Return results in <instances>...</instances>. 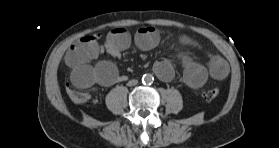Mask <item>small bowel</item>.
Here are the masks:
<instances>
[{"label": "small bowel", "mask_w": 279, "mask_h": 148, "mask_svg": "<svg viewBox=\"0 0 279 148\" xmlns=\"http://www.w3.org/2000/svg\"><path fill=\"white\" fill-rule=\"evenodd\" d=\"M160 41V33L153 27L140 28L135 36V44L142 50H150ZM185 45L199 47V44L184 36L181 39ZM132 42L130 33L123 28H115L107 35L104 42L99 34L82 37L67 50L65 62L71 68V81L78 88H89L95 84L110 87L119 81V73L116 66L107 60L91 65L90 62L102 53H108L114 57L119 56ZM183 66V80L191 88L201 87L208 77L216 80L224 79L229 72L227 62L219 55H209L208 66H204L190 56H179ZM156 74L165 81L172 79L174 69L172 63L166 58L158 59L154 64Z\"/></svg>", "instance_id": "1"}]
</instances>
